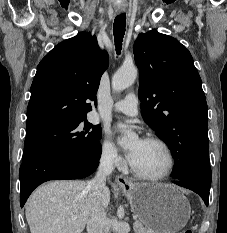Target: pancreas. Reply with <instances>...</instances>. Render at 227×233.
I'll use <instances>...</instances> for the list:
<instances>
[{
  "label": "pancreas",
  "mask_w": 227,
  "mask_h": 233,
  "mask_svg": "<svg viewBox=\"0 0 227 233\" xmlns=\"http://www.w3.org/2000/svg\"><path fill=\"white\" fill-rule=\"evenodd\" d=\"M133 228L137 233H152L151 231L143 227V225L139 221H136L133 224Z\"/></svg>",
  "instance_id": "pancreas-1"
}]
</instances>
